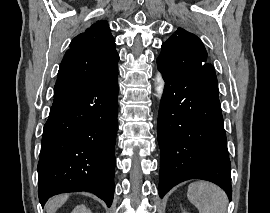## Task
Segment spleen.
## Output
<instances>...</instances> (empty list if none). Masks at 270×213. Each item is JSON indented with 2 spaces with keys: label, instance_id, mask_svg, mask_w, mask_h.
I'll return each instance as SVG.
<instances>
[{
  "label": "spleen",
  "instance_id": "spleen-1",
  "mask_svg": "<svg viewBox=\"0 0 270 213\" xmlns=\"http://www.w3.org/2000/svg\"><path fill=\"white\" fill-rule=\"evenodd\" d=\"M187 197L199 213H226V195L215 184L205 181L193 182L188 187Z\"/></svg>",
  "mask_w": 270,
  "mask_h": 213
}]
</instances>
